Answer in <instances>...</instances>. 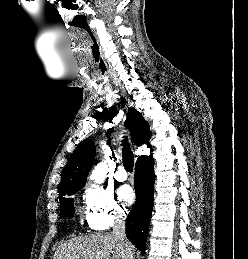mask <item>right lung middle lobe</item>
Masks as SVG:
<instances>
[{
    "mask_svg": "<svg viewBox=\"0 0 248 259\" xmlns=\"http://www.w3.org/2000/svg\"><path fill=\"white\" fill-rule=\"evenodd\" d=\"M81 188L73 189L68 191L64 196L60 197V210H61V216H73L74 214V205H73V199L68 198L65 195L71 196L77 193Z\"/></svg>",
    "mask_w": 248,
    "mask_h": 259,
    "instance_id": "dd1d6c3e",
    "label": "right lung middle lobe"
}]
</instances>
